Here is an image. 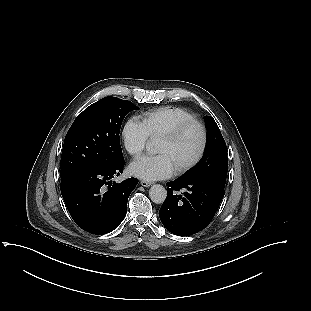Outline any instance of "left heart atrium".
Listing matches in <instances>:
<instances>
[{
    "label": "left heart atrium",
    "mask_w": 311,
    "mask_h": 311,
    "mask_svg": "<svg viewBox=\"0 0 311 311\" xmlns=\"http://www.w3.org/2000/svg\"><path fill=\"white\" fill-rule=\"evenodd\" d=\"M174 170L169 157L165 154L146 155L130 165V172L134 176L148 181L167 178Z\"/></svg>",
    "instance_id": "39dd6f15"
}]
</instances>
